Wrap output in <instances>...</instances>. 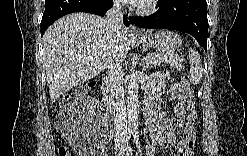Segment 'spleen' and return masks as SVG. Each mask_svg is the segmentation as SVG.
Here are the masks:
<instances>
[{
    "mask_svg": "<svg viewBox=\"0 0 247 156\" xmlns=\"http://www.w3.org/2000/svg\"><path fill=\"white\" fill-rule=\"evenodd\" d=\"M189 64H190V82L197 85L202 80V62L198 52L192 48L189 49Z\"/></svg>",
    "mask_w": 247,
    "mask_h": 156,
    "instance_id": "1",
    "label": "spleen"
}]
</instances>
